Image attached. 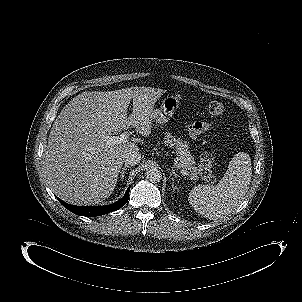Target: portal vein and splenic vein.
<instances>
[{
  "instance_id": "1",
  "label": "portal vein and splenic vein",
  "mask_w": 302,
  "mask_h": 302,
  "mask_svg": "<svg viewBox=\"0 0 302 302\" xmlns=\"http://www.w3.org/2000/svg\"><path fill=\"white\" fill-rule=\"evenodd\" d=\"M128 134L125 132V133H122L118 136H106L105 137V141H106V145L108 147L110 146H113V145H116V144H121V143H125L128 141ZM181 173L183 175H189V173L187 171H185L184 169H181Z\"/></svg>"
}]
</instances>
